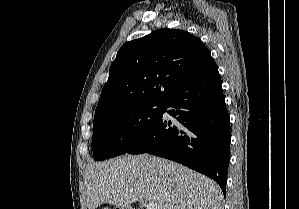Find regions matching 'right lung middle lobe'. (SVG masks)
Returning <instances> with one entry per match:
<instances>
[{
	"label": "right lung middle lobe",
	"mask_w": 299,
	"mask_h": 209,
	"mask_svg": "<svg viewBox=\"0 0 299 209\" xmlns=\"http://www.w3.org/2000/svg\"><path fill=\"white\" fill-rule=\"evenodd\" d=\"M164 102L119 106L94 117L92 147L96 161L125 154L160 119Z\"/></svg>",
	"instance_id": "right-lung-middle-lobe-1"
}]
</instances>
